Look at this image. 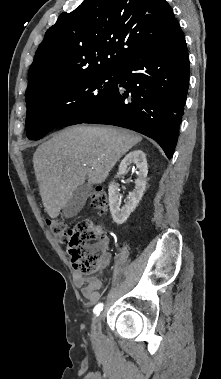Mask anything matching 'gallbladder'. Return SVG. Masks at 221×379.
Returning a JSON list of instances; mask_svg holds the SVG:
<instances>
[{
  "label": "gallbladder",
  "instance_id": "gallbladder-1",
  "mask_svg": "<svg viewBox=\"0 0 221 379\" xmlns=\"http://www.w3.org/2000/svg\"><path fill=\"white\" fill-rule=\"evenodd\" d=\"M89 194L90 185L88 183H83L82 185L78 186L67 204L63 207V215L66 218L77 215L83 208Z\"/></svg>",
  "mask_w": 221,
  "mask_h": 379
}]
</instances>
